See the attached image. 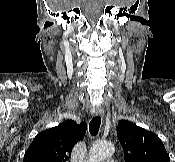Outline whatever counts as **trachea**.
Masks as SVG:
<instances>
[{
    "label": "trachea",
    "mask_w": 175,
    "mask_h": 162,
    "mask_svg": "<svg viewBox=\"0 0 175 162\" xmlns=\"http://www.w3.org/2000/svg\"><path fill=\"white\" fill-rule=\"evenodd\" d=\"M100 124H101L100 116H96L92 118V120L89 123V132L91 136H96L98 134Z\"/></svg>",
    "instance_id": "3493384b"
}]
</instances>
